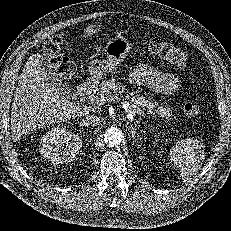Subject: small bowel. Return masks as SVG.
I'll use <instances>...</instances> for the list:
<instances>
[{
    "label": "small bowel",
    "instance_id": "small-bowel-1",
    "mask_svg": "<svg viewBox=\"0 0 231 231\" xmlns=\"http://www.w3.org/2000/svg\"><path fill=\"white\" fill-rule=\"evenodd\" d=\"M129 80L133 84L147 87L161 94H172L180 87L177 75L161 71L150 64L134 67L129 74Z\"/></svg>",
    "mask_w": 231,
    "mask_h": 231
}]
</instances>
